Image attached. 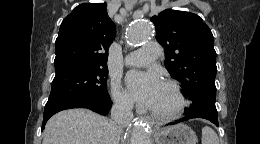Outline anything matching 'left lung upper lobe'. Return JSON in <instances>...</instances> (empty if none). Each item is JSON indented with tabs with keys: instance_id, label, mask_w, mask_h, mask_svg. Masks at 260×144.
<instances>
[{
	"instance_id": "5c2ea615",
	"label": "left lung upper lobe",
	"mask_w": 260,
	"mask_h": 144,
	"mask_svg": "<svg viewBox=\"0 0 260 144\" xmlns=\"http://www.w3.org/2000/svg\"><path fill=\"white\" fill-rule=\"evenodd\" d=\"M157 41L165 48V66L192 100L186 113L216 110V52L209 27L196 14L166 9L153 16Z\"/></svg>"
}]
</instances>
